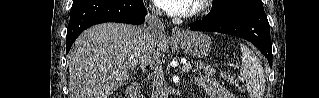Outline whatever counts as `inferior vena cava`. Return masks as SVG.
I'll use <instances>...</instances> for the list:
<instances>
[{
    "instance_id": "obj_1",
    "label": "inferior vena cava",
    "mask_w": 319,
    "mask_h": 98,
    "mask_svg": "<svg viewBox=\"0 0 319 98\" xmlns=\"http://www.w3.org/2000/svg\"><path fill=\"white\" fill-rule=\"evenodd\" d=\"M150 14L146 16V25L144 28L152 43L151 54L149 58L150 78L152 82L151 98H168V88L164 78L160 43L166 36L164 25L160 20L161 11L150 7Z\"/></svg>"
}]
</instances>
